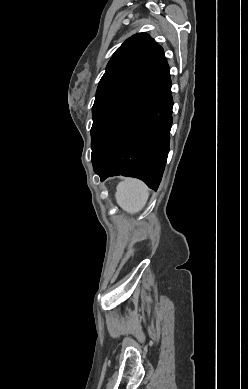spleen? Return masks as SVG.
<instances>
[{"label":"spleen","mask_w":248,"mask_h":389,"mask_svg":"<svg viewBox=\"0 0 248 389\" xmlns=\"http://www.w3.org/2000/svg\"><path fill=\"white\" fill-rule=\"evenodd\" d=\"M148 198L149 189L140 180L127 178L117 185L116 202L127 213L135 214L141 211Z\"/></svg>","instance_id":"obj_1"}]
</instances>
